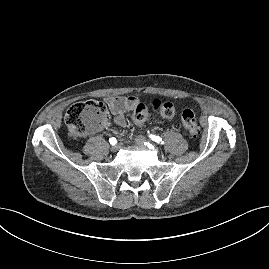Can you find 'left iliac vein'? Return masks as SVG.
Instances as JSON below:
<instances>
[{
  "label": "left iliac vein",
  "mask_w": 269,
  "mask_h": 269,
  "mask_svg": "<svg viewBox=\"0 0 269 269\" xmlns=\"http://www.w3.org/2000/svg\"><path fill=\"white\" fill-rule=\"evenodd\" d=\"M145 142H147V139L144 136H137L135 138V143L138 146H141L142 144H144Z\"/></svg>",
  "instance_id": "1"
}]
</instances>
